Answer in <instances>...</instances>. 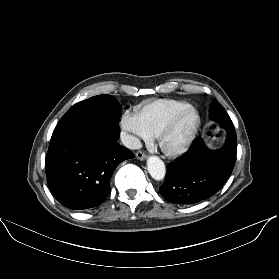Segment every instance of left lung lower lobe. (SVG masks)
I'll use <instances>...</instances> for the list:
<instances>
[{
	"mask_svg": "<svg viewBox=\"0 0 279 279\" xmlns=\"http://www.w3.org/2000/svg\"><path fill=\"white\" fill-rule=\"evenodd\" d=\"M225 145L210 150L197 138L189 151L168 167L161 195L174 204L197 203L217 193L230 177L237 153V138L233 124L226 123Z\"/></svg>",
	"mask_w": 279,
	"mask_h": 279,
	"instance_id": "1",
	"label": "left lung lower lobe"
}]
</instances>
